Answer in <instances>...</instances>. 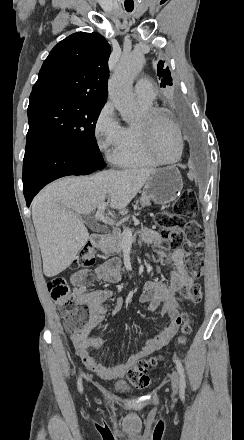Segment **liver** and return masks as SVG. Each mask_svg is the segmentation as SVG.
I'll return each mask as SVG.
<instances>
[{"mask_svg":"<svg viewBox=\"0 0 244 440\" xmlns=\"http://www.w3.org/2000/svg\"><path fill=\"white\" fill-rule=\"evenodd\" d=\"M153 172L155 168L103 170L87 178L66 176L41 190L32 202V220L45 276L53 278L66 270L87 244L89 234L79 220L81 214H92L99 206L128 214V204Z\"/></svg>","mask_w":244,"mask_h":440,"instance_id":"obj_1","label":"liver"}]
</instances>
